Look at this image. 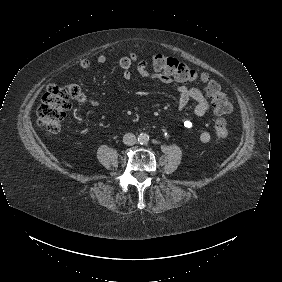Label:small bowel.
Masks as SVG:
<instances>
[{"label": "small bowel", "instance_id": "1", "mask_svg": "<svg viewBox=\"0 0 282 282\" xmlns=\"http://www.w3.org/2000/svg\"><path fill=\"white\" fill-rule=\"evenodd\" d=\"M107 61L106 56L99 55L97 57L98 64H105ZM136 64L137 71L139 75L143 78L159 81L168 85H171L179 95L178 99V108L180 110L186 109L188 103L190 101L195 102L194 106V114L198 117L204 116L207 114L211 109L212 106L207 99L206 95L198 88L187 86L180 81L172 78L169 75H166L162 72L157 70H151L150 60L148 59H139L138 56L131 52L126 56H123L119 60V66L122 69V78L125 81H129L132 79V72L131 67ZM79 66L81 69H88L91 66V62L87 58H83L79 62ZM90 104L96 105L97 101L95 99L90 100ZM211 136L208 131H201L199 134L200 142L206 144L210 141Z\"/></svg>", "mask_w": 282, "mask_h": 282}]
</instances>
